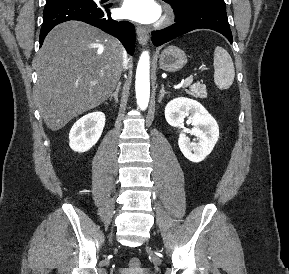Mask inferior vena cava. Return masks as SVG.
Instances as JSON below:
<instances>
[{
  "label": "inferior vena cava",
  "mask_w": 289,
  "mask_h": 274,
  "mask_svg": "<svg viewBox=\"0 0 289 274\" xmlns=\"http://www.w3.org/2000/svg\"><path fill=\"white\" fill-rule=\"evenodd\" d=\"M128 63L127 53L123 50V67L126 68Z\"/></svg>",
  "instance_id": "602c4592"
}]
</instances>
